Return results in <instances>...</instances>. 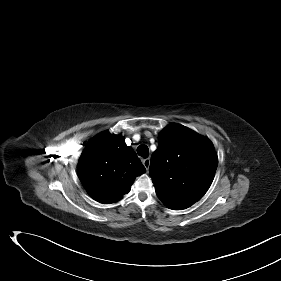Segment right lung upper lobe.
Listing matches in <instances>:
<instances>
[{
  "instance_id": "obj_1",
  "label": "right lung upper lobe",
  "mask_w": 281,
  "mask_h": 281,
  "mask_svg": "<svg viewBox=\"0 0 281 281\" xmlns=\"http://www.w3.org/2000/svg\"><path fill=\"white\" fill-rule=\"evenodd\" d=\"M77 171L86 191L96 201L110 204L127 194L146 169L124 137L104 131L87 143Z\"/></svg>"
}]
</instances>
